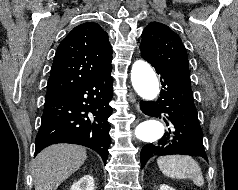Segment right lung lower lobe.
Here are the masks:
<instances>
[{
    "instance_id": "right-lung-lower-lobe-1",
    "label": "right lung lower lobe",
    "mask_w": 238,
    "mask_h": 190,
    "mask_svg": "<svg viewBox=\"0 0 238 190\" xmlns=\"http://www.w3.org/2000/svg\"><path fill=\"white\" fill-rule=\"evenodd\" d=\"M111 69L45 101L35 155L51 144L72 143L95 150L106 162L110 144L107 119L112 114Z\"/></svg>"
}]
</instances>
